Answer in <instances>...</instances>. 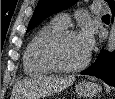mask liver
<instances>
[{
	"mask_svg": "<svg viewBox=\"0 0 115 99\" xmlns=\"http://www.w3.org/2000/svg\"><path fill=\"white\" fill-rule=\"evenodd\" d=\"M74 76H49L28 79L16 84V97L18 99H36V97L50 96L71 86ZM17 99V98H16Z\"/></svg>",
	"mask_w": 115,
	"mask_h": 99,
	"instance_id": "liver-1",
	"label": "liver"
}]
</instances>
